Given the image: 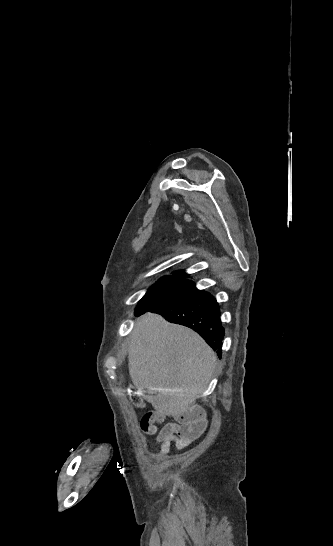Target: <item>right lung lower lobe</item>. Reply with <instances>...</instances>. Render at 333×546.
<instances>
[{
  "label": "right lung lower lobe",
  "mask_w": 333,
  "mask_h": 546,
  "mask_svg": "<svg viewBox=\"0 0 333 546\" xmlns=\"http://www.w3.org/2000/svg\"><path fill=\"white\" fill-rule=\"evenodd\" d=\"M147 311L164 316L169 322L187 326L199 333L217 353L221 352L224 328L216 299L209 293L196 290L149 310H136L135 316ZM221 356L220 354H218Z\"/></svg>",
  "instance_id": "1"
}]
</instances>
